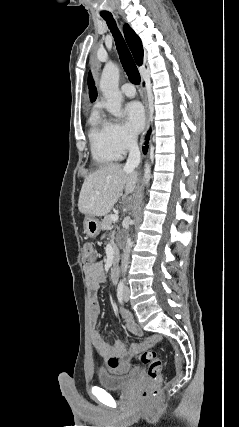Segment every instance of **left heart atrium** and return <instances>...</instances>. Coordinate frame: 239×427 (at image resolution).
Wrapping results in <instances>:
<instances>
[{"label":"left heart atrium","mask_w":239,"mask_h":427,"mask_svg":"<svg viewBox=\"0 0 239 427\" xmlns=\"http://www.w3.org/2000/svg\"><path fill=\"white\" fill-rule=\"evenodd\" d=\"M124 114L128 131L133 135L138 134L145 124V113L141 104L136 101L128 103L124 109Z\"/></svg>","instance_id":"obj_1"}]
</instances>
